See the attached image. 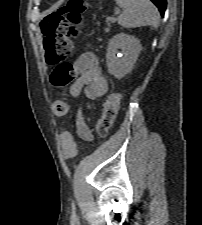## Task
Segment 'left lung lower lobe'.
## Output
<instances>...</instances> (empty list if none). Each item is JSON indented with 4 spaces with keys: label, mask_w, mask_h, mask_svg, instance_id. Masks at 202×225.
Segmentation results:
<instances>
[{
    "label": "left lung lower lobe",
    "mask_w": 202,
    "mask_h": 225,
    "mask_svg": "<svg viewBox=\"0 0 202 225\" xmlns=\"http://www.w3.org/2000/svg\"><path fill=\"white\" fill-rule=\"evenodd\" d=\"M159 9L161 15H164L167 2L166 0H151Z\"/></svg>",
    "instance_id": "left-lung-lower-lobe-1"
}]
</instances>
